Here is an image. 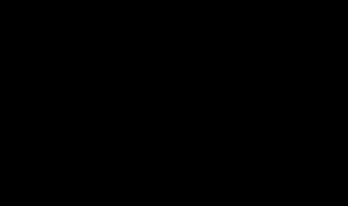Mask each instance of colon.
Listing matches in <instances>:
<instances>
[{
	"instance_id": "colon-1",
	"label": "colon",
	"mask_w": 348,
	"mask_h": 206,
	"mask_svg": "<svg viewBox=\"0 0 348 206\" xmlns=\"http://www.w3.org/2000/svg\"><path fill=\"white\" fill-rule=\"evenodd\" d=\"M250 91H252V89H246V91H245V92H250Z\"/></svg>"
}]
</instances>
